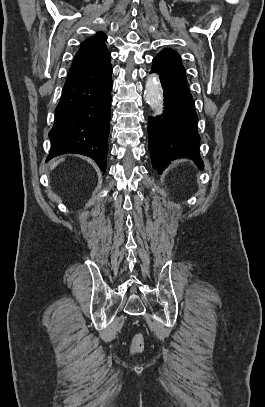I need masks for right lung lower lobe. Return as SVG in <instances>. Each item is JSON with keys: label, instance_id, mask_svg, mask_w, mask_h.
I'll return each mask as SVG.
<instances>
[{"label": "right lung lower lobe", "instance_id": "98d812e1", "mask_svg": "<svg viewBox=\"0 0 265 407\" xmlns=\"http://www.w3.org/2000/svg\"><path fill=\"white\" fill-rule=\"evenodd\" d=\"M112 66L110 53L73 67L56 107L49 132L47 160L65 154L89 156L105 173L111 114Z\"/></svg>", "mask_w": 265, "mask_h": 407}]
</instances>
